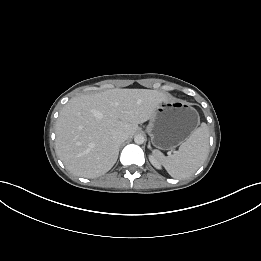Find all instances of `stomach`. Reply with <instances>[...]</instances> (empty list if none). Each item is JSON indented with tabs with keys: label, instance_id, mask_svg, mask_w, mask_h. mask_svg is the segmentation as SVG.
<instances>
[{
	"label": "stomach",
	"instance_id": "obj_1",
	"mask_svg": "<svg viewBox=\"0 0 261 261\" xmlns=\"http://www.w3.org/2000/svg\"><path fill=\"white\" fill-rule=\"evenodd\" d=\"M200 122L198 112L185 102L167 99L150 118L147 132L158 149H171L186 141Z\"/></svg>",
	"mask_w": 261,
	"mask_h": 261
}]
</instances>
